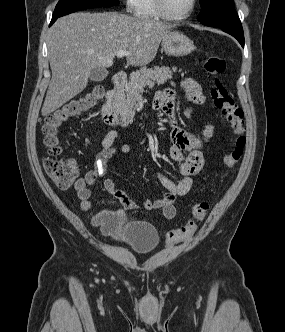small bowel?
I'll return each mask as SVG.
<instances>
[{"mask_svg": "<svg viewBox=\"0 0 285 332\" xmlns=\"http://www.w3.org/2000/svg\"><path fill=\"white\" fill-rule=\"evenodd\" d=\"M180 87L185 91L189 101L193 104L200 105L204 103L205 96L199 83L187 78L180 83ZM174 95L173 89H167L159 93L155 97L154 108L163 111L169 118L171 124L169 156L173 161L180 164L181 179L174 182L162 173H158V178L167 192L159 199H146L141 202H136L129 198L123 190L116 187L110 177H106L103 181L105 190L119 200L125 208L146 211L159 210L162 217L166 220H171L176 216V198L190 192L193 185V177L202 169L205 162L201 148L212 137L214 131V127L210 124L205 127L201 135H196L177 127L174 117ZM190 112L191 109L187 110V114H190ZM118 135V129H112L106 133L101 142V150L96 156L94 168L75 182L74 188L82 211H88L91 208V190L89 187L94 185L100 177L105 176L108 162L117 156L127 155L131 150L127 144L119 147L114 145ZM104 216V212L98 213L93 218V223L100 225Z\"/></svg>", "mask_w": 285, "mask_h": 332, "instance_id": "1", "label": "small bowel"}]
</instances>
